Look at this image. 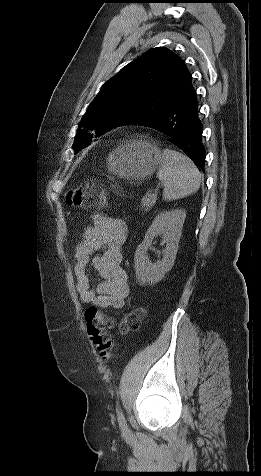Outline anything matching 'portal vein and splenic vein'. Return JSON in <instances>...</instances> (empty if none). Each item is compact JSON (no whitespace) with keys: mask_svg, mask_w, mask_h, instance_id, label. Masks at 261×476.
<instances>
[{"mask_svg":"<svg viewBox=\"0 0 261 476\" xmlns=\"http://www.w3.org/2000/svg\"><path fill=\"white\" fill-rule=\"evenodd\" d=\"M152 195H153V197L156 199L157 193L155 192V193H153Z\"/></svg>","mask_w":261,"mask_h":476,"instance_id":"1","label":"portal vein and splenic vein"}]
</instances>
